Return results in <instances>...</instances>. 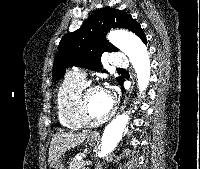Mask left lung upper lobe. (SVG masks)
<instances>
[{
    "label": "left lung upper lobe",
    "mask_w": 200,
    "mask_h": 169,
    "mask_svg": "<svg viewBox=\"0 0 200 169\" xmlns=\"http://www.w3.org/2000/svg\"><path fill=\"white\" fill-rule=\"evenodd\" d=\"M111 28H125L143 41L146 36L131 15L118 9H99L76 31L64 35L59 43L53 64L54 81L60 79L67 67L78 66L93 71L101 69L104 52L118 51L105 36ZM103 72H106L103 70ZM119 83L122 78L117 79Z\"/></svg>",
    "instance_id": "obj_1"
}]
</instances>
